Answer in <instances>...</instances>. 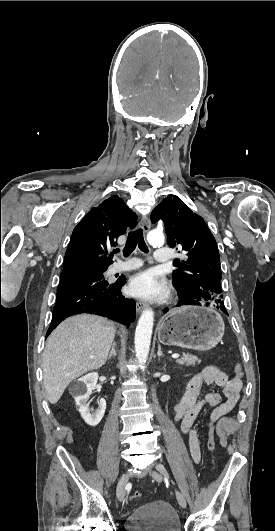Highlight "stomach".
Instances as JSON below:
<instances>
[{
    "label": "stomach",
    "mask_w": 275,
    "mask_h": 531,
    "mask_svg": "<svg viewBox=\"0 0 275 531\" xmlns=\"http://www.w3.org/2000/svg\"><path fill=\"white\" fill-rule=\"evenodd\" d=\"M224 331L220 313L201 307L200 301H187L186 307L174 309L160 319L158 339L169 347L209 351L220 343Z\"/></svg>",
    "instance_id": "obj_1"
}]
</instances>
